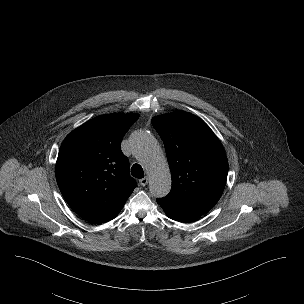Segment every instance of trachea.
Wrapping results in <instances>:
<instances>
[{
	"mask_svg": "<svg viewBox=\"0 0 304 304\" xmlns=\"http://www.w3.org/2000/svg\"><path fill=\"white\" fill-rule=\"evenodd\" d=\"M132 176L135 178H143L144 177V171L143 168L139 164H134L131 168Z\"/></svg>",
	"mask_w": 304,
	"mask_h": 304,
	"instance_id": "obj_1",
	"label": "trachea"
}]
</instances>
